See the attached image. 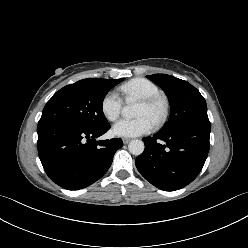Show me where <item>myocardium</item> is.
Here are the masks:
<instances>
[{"mask_svg": "<svg viewBox=\"0 0 248 248\" xmlns=\"http://www.w3.org/2000/svg\"><path fill=\"white\" fill-rule=\"evenodd\" d=\"M140 103L149 108H156V107L161 108V112L159 116L153 121L154 126L160 127L166 122L169 115V103L164 96L156 95V96L144 98L140 100Z\"/></svg>", "mask_w": 248, "mask_h": 248, "instance_id": "myocardium-1", "label": "myocardium"}]
</instances>
